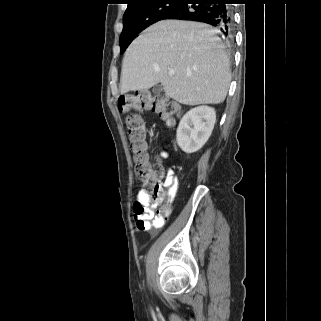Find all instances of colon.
<instances>
[{"label":"colon","mask_w":321,"mask_h":321,"mask_svg":"<svg viewBox=\"0 0 321 321\" xmlns=\"http://www.w3.org/2000/svg\"><path fill=\"white\" fill-rule=\"evenodd\" d=\"M119 109L127 113L126 122L129 140L134 154L135 174L143 183L146 191L152 192L157 199H161L163 191L159 185V177L162 172L158 160H150L146 152V134L142 118L132 111L151 110L159 114L168 124H172L174 116L178 113V105L164 96H150L147 93L122 96L118 100ZM135 211L143 213L145 208L135 205ZM158 215L165 219L171 212V207L163 205L158 209Z\"/></svg>","instance_id":"obj_1"}]
</instances>
